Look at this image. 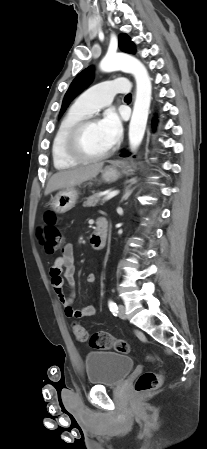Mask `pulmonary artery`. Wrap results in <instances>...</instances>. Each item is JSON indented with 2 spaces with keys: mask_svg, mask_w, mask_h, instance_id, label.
<instances>
[{
  "mask_svg": "<svg viewBox=\"0 0 207 449\" xmlns=\"http://www.w3.org/2000/svg\"><path fill=\"white\" fill-rule=\"evenodd\" d=\"M126 80H108L97 83L82 93L76 100V105L85 112L92 114L109 105L117 93H128Z\"/></svg>",
  "mask_w": 207,
  "mask_h": 449,
  "instance_id": "e3ab8cb5",
  "label": "pulmonary artery"
}]
</instances>
